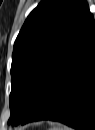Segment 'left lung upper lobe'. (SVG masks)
<instances>
[{
  "label": "left lung upper lobe",
  "instance_id": "5c2ea615",
  "mask_svg": "<svg viewBox=\"0 0 95 130\" xmlns=\"http://www.w3.org/2000/svg\"><path fill=\"white\" fill-rule=\"evenodd\" d=\"M91 19L83 0H44L30 13L14 44L9 123L27 113L52 68Z\"/></svg>",
  "mask_w": 95,
  "mask_h": 130
}]
</instances>
